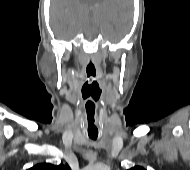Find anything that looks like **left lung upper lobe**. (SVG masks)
<instances>
[{"instance_id":"1","label":"left lung upper lobe","mask_w":190,"mask_h":170,"mask_svg":"<svg viewBox=\"0 0 190 170\" xmlns=\"http://www.w3.org/2000/svg\"><path fill=\"white\" fill-rule=\"evenodd\" d=\"M128 170H145L143 167H140V166H135V167H132Z\"/></svg>"}]
</instances>
